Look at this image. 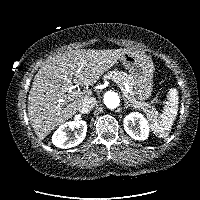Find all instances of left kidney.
<instances>
[{
    "label": "left kidney",
    "mask_w": 200,
    "mask_h": 200,
    "mask_svg": "<svg viewBox=\"0 0 200 200\" xmlns=\"http://www.w3.org/2000/svg\"><path fill=\"white\" fill-rule=\"evenodd\" d=\"M124 129L126 133L135 140L148 138L150 126L147 119L138 112H132L124 118Z\"/></svg>",
    "instance_id": "left-kidney-1"
}]
</instances>
